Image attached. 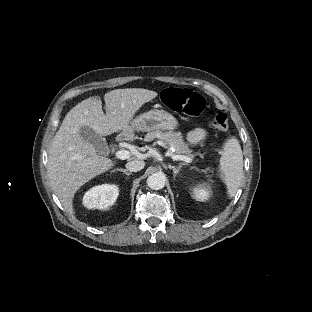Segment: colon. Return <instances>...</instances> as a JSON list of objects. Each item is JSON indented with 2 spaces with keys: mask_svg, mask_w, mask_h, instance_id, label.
Returning a JSON list of instances; mask_svg holds the SVG:
<instances>
[{
  "mask_svg": "<svg viewBox=\"0 0 312 312\" xmlns=\"http://www.w3.org/2000/svg\"><path fill=\"white\" fill-rule=\"evenodd\" d=\"M163 100L169 109L190 117H197L205 108L203 97L190 89L167 88ZM208 121L216 129L225 131L228 128L225 113H214Z\"/></svg>",
  "mask_w": 312,
  "mask_h": 312,
  "instance_id": "5ec220e1",
  "label": "colon"
}]
</instances>
